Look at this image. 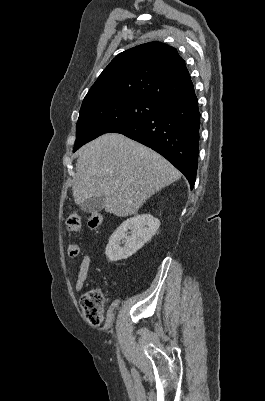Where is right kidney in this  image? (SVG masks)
I'll return each instance as SVG.
<instances>
[{
    "mask_svg": "<svg viewBox=\"0 0 265 401\" xmlns=\"http://www.w3.org/2000/svg\"><path fill=\"white\" fill-rule=\"evenodd\" d=\"M159 227L160 221L152 215H137L127 219L110 237L105 251L108 261H121V259L132 257L138 249H142L143 245L154 237ZM127 231H131L130 235Z\"/></svg>",
    "mask_w": 265,
    "mask_h": 401,
    "instance_id": "ca27d5eb",
    "label": "right kidney"
}]
</instances>
